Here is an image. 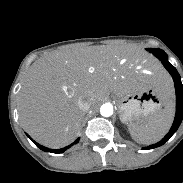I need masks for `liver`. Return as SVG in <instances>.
I'll return each mask as SVG.
<instances>
[{"label": "liver", "instance_id": "liver-1", "mask_svg": "<svg viewBox=\"0 0 183 183\" xmlns=\"http://www.w3.org/2000/svg\"><path fill=\"white\" fill-rule=\"evenodd\" d=\"M141 63L152 75L145 81L167 101L172 96L169 76L151 57L132 47L89 46L53 52L29 68L19 93L20 120L30 136L50 148L72 143L85 112L80 98L97 106L113 92L131 91L134 78L128 68Z\"/></svg>", "mask_w": 183, "mask_h": 183}]
</instances>
